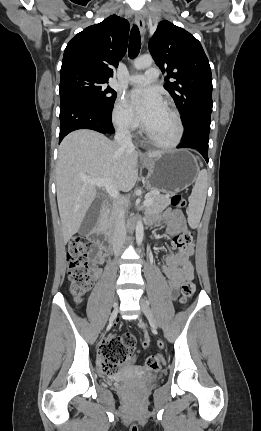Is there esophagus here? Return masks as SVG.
Segmentation results:
<instances>
[{
	"label": "esophagus",
	"mask_w": 261,
	"mask_h": 431,
	"mask_svg": "<svg viewBox=\"0 0 261 431\" xmlns=\"http://www.w3.org/2000/svg\"><path fill=\"white\" fill-rule=\"evenodd\" d=\"M135 22H136L141 34L144 35V33H145V21H144V18L140 12L135 13Z\"/></svg>",
	"instance_id": "1"
}]
</instances>
